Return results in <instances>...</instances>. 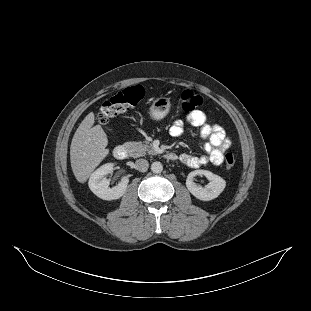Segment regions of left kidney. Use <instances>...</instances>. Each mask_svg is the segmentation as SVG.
<instances>
[{"label": "left kidney", "mask_w": 311, "mask_h": 311, "mask_svg": "<svg viewBox=\"0 0 311 311\" xmlns=\"http://www.w3.org/2000/svg\"><path fill=\"white\" fill-rule=\"evenodd\" d=\"M196 175H204L210 182L205 186H199L193 182V178ZM226 182L220 176L208 171V170H195L188 174L186 179V187L196 198L209 201L217 198L224 190Z\"/></svg>", "instance_id": "obj_1"}]
</instances>
